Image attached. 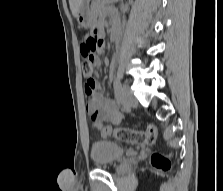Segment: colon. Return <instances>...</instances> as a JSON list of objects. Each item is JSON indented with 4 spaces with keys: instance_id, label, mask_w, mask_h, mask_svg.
Segmentation results:
<instances>
[{
    "instance_id": "1",
    "label": "colon",
    "mask_w": 223,
    "mask_h": 191,
    "mask_svg": "<svg viewBox=\"0 0 223 191\" xmlns=\"http://www.w3.org/2000/svg\"><path fill=\"white\" fill-rule=\"evenodd\" d=\"M102 47V41L96 35H90L84 39L81 44L82 61V73L91 87H94L92 83V76L96 63V56ZM102 135L105 138H109L111 135L120 141H124L137 145H149L155 142L157 138V130L154 124H148L146 130H133L128 128H111L104 127L102 129ZM151 163L157 170L168 172L171 168L170 160L159 152H154L151 156Z\"/></svg>"
}]
</instances>
